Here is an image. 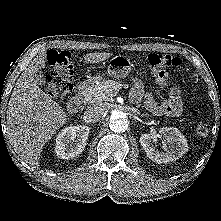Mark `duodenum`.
Masks as SVG:
<instances>
[{
  "instance_id": "duodenum-1",
  "label": "duodenum",
  "mask_w": 221,
  "mask_h": 221,
  "mask_svg": "<svg viewBox=\"0 0 221 221\" xmlns=\"http://www.w3.org/2000/svg\"><path fill=\"white\" fill-rule=\"evenodd\" d=\"M90 83L83 82L79 84L76 89L75 95L68 103V110L75 113L80 110L81 106L90 98Z\"/></svg>"
}]
</instances>
